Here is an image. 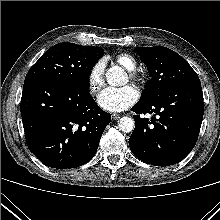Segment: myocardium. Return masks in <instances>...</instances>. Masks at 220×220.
<instances>
[{
  "instance_id": "f54148a6",
  "label": "myocardium",
  "mask_w": 220,
  "mask_h": 220,
  "mask_svg": "<svg viewBox=\"0 0 220 220\" xmlns=\"http://www.w3.org/2000/svg\"><path fill=\"white\" fill-rule=\"evenodd\" d=\"M129 77L135 82H141L143 80V75L136 69L129 71Z\"/></svg>"
}]
</instances>
